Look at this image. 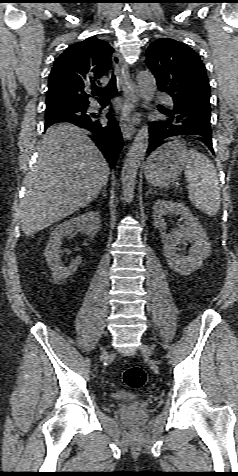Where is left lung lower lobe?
I'll return each instance as SVG.
<instances>
[{
    "mask_svg": "<svg viewBox=\"0 0 238 476\" xmlns=\"http://www.w3.org/2000/svg\"><path fill=\"white\" fill-rule=\"evenodd\" d=\"M162 113V119L154 121L149 128L148 153L155 151L161 145L182 136H194L214 154L211 140V123L208 112L188 110L173 107L165 109L157 107Z\"/></svg>",
    "mask_w": 238,
    "mask_h": 476,
    "instance_id": "0a47b994",
    "label": "left lung lower lobe"
}]
</instances>
